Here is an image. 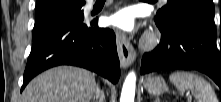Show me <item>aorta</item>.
<instances>
[{
	"mask_svg": "<svg viewBox=\"0 0 221 102\" xmlns=\"http://www.w3.org/2000/svg\"><path fill=\"white\" fill-rule=\"evenodd\" d=\"M136 88V74L131 71L123 84L120 102H134Z\"/></svg>",
	"mask_w": 221,
	"mask_h": 102,
	"instance_id": "obj_1",
	"label": "aorta"
}]
</instances>
